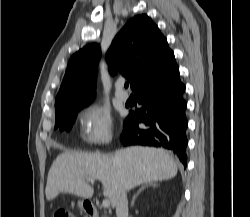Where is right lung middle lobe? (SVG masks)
<instances>
[{
	"label": "right lung middle lobe",
	"instance_id": "1",
	"mask_svg": "<svg viewBox=\"0 0 250 217\" xmlns=\"http://www.w3.org/2000/svg\"><path fill=\"white\" fill-rule=\"evenodd\" d=\"M80 109H76L68 113L57 116L55 120V129L59 128L60 131L63 130L69 131L72 128V125L76 119V112L79 111Z\"/></svg>",
	"mask_w": 250,
	"mask_h": 217
}]
</instances>
